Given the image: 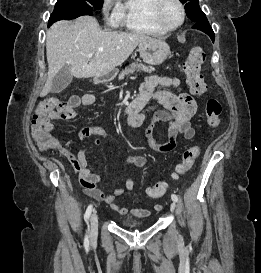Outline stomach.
Instances as JSON below:
<instances>
[{"label": "stomach", "mask_w": 261, "mask_h": 273, "mask_svg": "<svg viewBox=\"0 0 261 273\" xmlns=\"http://www.w3.org/2000/svg\"><path fill=\"white\" fill-rule=\"evenodd\" d=\"M139 53L145 63L160 65L169 57L171 51L165 41L151 38L139 44ZM117 72V69H113L103 77H96L95 82L111 81L117 75Z\"/></svg>", "instance_id": "stomach-1"}]
</instances>
